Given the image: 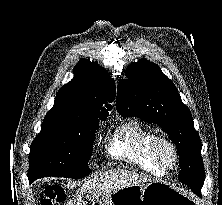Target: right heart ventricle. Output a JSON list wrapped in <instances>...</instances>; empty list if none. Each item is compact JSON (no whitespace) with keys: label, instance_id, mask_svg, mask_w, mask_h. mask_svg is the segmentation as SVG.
<instances>
[{"label":"right heart ventricle","instance_id":"1","mask_svg":"<svg viewBox=\"0 0 222 205\" xmlns=\"http://www.w3.org/2000/svg\"><path fill=\"white\" fill-rule=\"evenodd\" d=\"M153 137L154 134L150 130L137 123H130L114 137L111 154L150 174L163 176L165 170L155 163L151 155L150 144Z\"/></svg>","mask_w":222,"mask_h":205}]
</instances>
